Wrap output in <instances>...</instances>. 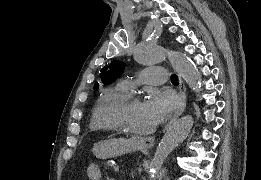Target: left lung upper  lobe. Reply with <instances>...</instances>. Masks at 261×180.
<instances>
[{"label": "left lung upper lobe", "instance_id": "obj_1", "mask_svg": "<svg viewBox=\"0 0 261 180\" xmlns=\"http://www.w3.org/2000/svg\"><path fill=\"white\" fill-rule=\"evenodd\" d=\"M108 70V66L101 70V80L104 84H108L111 81L117 79L123 73V65L121 62H112ZM99 87L98 83H95L94 90Z\"/></svg>", "mask_w": 261, "mask_h": 180}]
</instances>
